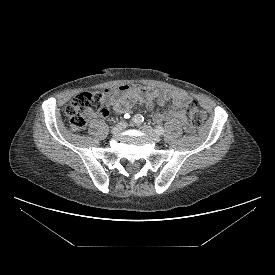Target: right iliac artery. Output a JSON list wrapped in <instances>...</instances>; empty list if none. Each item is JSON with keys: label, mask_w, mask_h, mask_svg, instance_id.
Masks as SVG:
<instances>
[{"label": "right iliac artery", "mask_w": 275, "mask_h": 275, "mask_svg": "<svg viewBox=\"0 0 275 275\" xmlns=\"http://www.w3.org/2000/svg\"><path fill=\"white\" fill-rule=\"evenodd\" d=\"M132 120L135 124L139 125L143 122L144 117L141 114H136Z\"/></svg>", "instance_id": "obj_1"}]
</instances>
